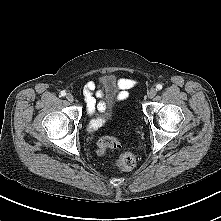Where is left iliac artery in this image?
Instances as JSON below:
<instances>
[{"label": "left iliac artery", "mask_w": 221, "mask_h": 221, "mask_svg": "<svg viewBox=\"0 0 221 221\" xmlns=\"http://www.w3.org/2000/svg\"><path fill=\"white\" fill-rule=\"evenodd\" d=\"M162 89V85L161 84H158L157 86H156V90H161Z\"/></svg>", "instance_id": "44dca946"}]
</instances>
